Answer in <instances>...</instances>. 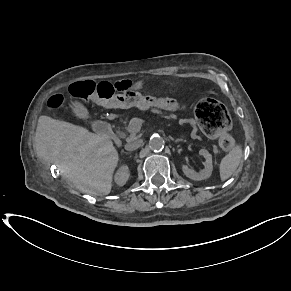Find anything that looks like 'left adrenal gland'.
I'll list each match as a JSON object with an SVG mask.
<instances>
[{
  "instance_id": "obj_1",
  "label": "left adrenal gland",
  "mask_w": 291,
  "mask_h": 291,
  "mask_svg": "<svg viewBox=\"0 0 291 291\" xmlns=\"http://www.w3.org/2000/svg\"><path fill=\"white\" fill-rule=\"evenodd\" d=\"M180 141H183L182 139H177V140H175L174 142L175 143H178V142H180Z\"/></svg>"
}]
</instances>
